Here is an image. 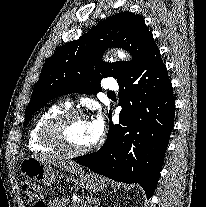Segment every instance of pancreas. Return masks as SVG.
Here are the masks:
<instances>
[{"label": "pancreas", "mask_w": 206, "mask_h": 207, "mask_svg": "<svg viewBox=\"0 0 206 207\" xmlns=\"http://www.w3.org/2000/svg\"><path fill=\"white\" fill-rule=\"evenodd\" d=\"M60 207L65 206L64 199L59 202ZM72 207H87V202H74Z\"/></svg>", "instance_id": "1"}]
</instances>
